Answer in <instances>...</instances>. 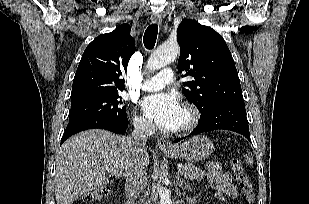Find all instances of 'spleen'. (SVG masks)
Here are the masks:
<instances>
[{"label": "spleen", "mask_w": 309, "mask_h": 204, "mask_svg": "<svg viewBox=\"0 0 309 204\" xmlns=\"http://www.w3.org/2000/svg\"><path fill=\"white\" fill-rule=\"evenodd\" d=\"M246 162H247V164H249V165H252V164H253L252 159H251L250 157H248V156H246Z\"/></svg>", "instance_id": "1"}]
</instances>
